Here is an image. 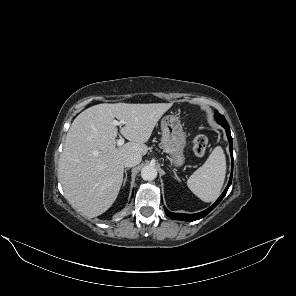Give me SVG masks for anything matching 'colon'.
Here are the masks:
<instances>
[{
    "label": "colon",
    "mask_w": 296,
    "mask_h": 296,
    "mask_svg": "<svg viewBox=\"0 0 296 296\" xmlns=\"http://www.w3.org/2000/svg\"><path fill=\"white\" fill-rule=\"evenodd\" d=\"M208 146V139L204 135H197L194 138V153L197 156H203Z\"/></svg>",
    "instance_id": "colon-1"
}]
</instances>
